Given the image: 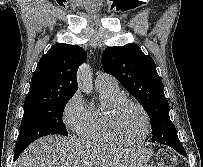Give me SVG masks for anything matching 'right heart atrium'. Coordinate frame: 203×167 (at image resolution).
<instances>
[{
	"instance_id": "obj_1",
	"label": "right heart atrium",
	"mask_w": 203,
	"mask_h": 167,
	"mask_svg": "<svg viewBox=\"0 0 203 167\" xmlns=\"http://www.w3.org/2000/svg\"><path fill=\"white\" fill-rule=\"evenodd\" d=\"M87 108L79 92H75L66 102L62 119L65 126L78 133L86 117Z\"/></svg>"
}]
</instances>
